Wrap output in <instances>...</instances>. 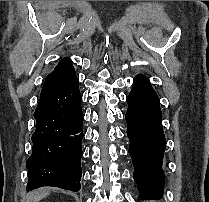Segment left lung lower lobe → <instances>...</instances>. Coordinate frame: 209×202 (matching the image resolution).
<instances>
[{"mask_svg": "<svg viewBox=\"0 0 209 202\" xmlns=\"http://www.w3.org/2000/svg\"><path fill=\"white\" fill-rule=\"evenodd\" d=\"M126 100L129 154L134 165L133 177L138 185L139 197L160 198L164 186L162 159L165 150L160 100L150 80L141 74L133 80V88Z\"/></svg>", "mask_w": 209, "mask_h": 202, "instance_id": "1", "label": "left lung lower lobe"}]
</instances>
